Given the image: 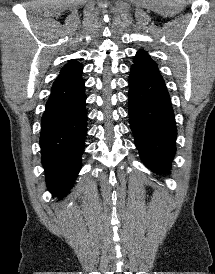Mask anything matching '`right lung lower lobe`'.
Listing matches in <instances>:
<instances>
[{
  "mask_svg": "<svg viewBox=\"0 0 215 274\" xmlns=\"http://www.w3.org/2000/svg\"><path fill=\"white\" fill-rule=\"evenodd\" d=\"M86 96L84 85L68 98L46 105L41 120L40 146L48 189L63 196L81 168L85 148Z\"/></svg>",
  "mask_w": 215,
  "mask_h": 274,
  "instance_id": "right-lung-lower-lobe-1",
  "label": "right lung lower lobe"
}]
</instances>
